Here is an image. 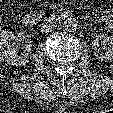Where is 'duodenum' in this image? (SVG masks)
Returning <instances> with one entry per match:
<instances>
[{
  "label": "duodenum",
  "instance_id": "duodenum-1",
  "mask_svg": "<svg viewBox=\"0 0 113 113\" xmlns=\"http://www.w3.org/2000/svg\"><path fill=\"white\" fill-rule=\"evenodd\" d=\"M69 16L67 10L59 9L54 11H32L22 18L24 26L30 27L40 21H61Z\"/></svg>",
  "mask_w": 113,
  "mask_h": 113
}]
</instances>
